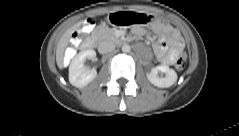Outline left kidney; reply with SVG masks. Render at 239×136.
<instances>
[{
	"instance_id": "left-kidney-1",
	"label": "left kidney",
	"mask_w": 239,
	"mask_h": 136,
	"mask_svg": "<svg viewBox=\"0 0 239 136\" xmlns=\"http://www.w3.org/2000/svg\"><path fill=\"white\" fill-rule=\"evenodd\" d=\"M159 72L164 73L165 77H159ZM147 78L153 85L157 87L168 88L176 82L177 73L167 65H159L147 73Z\"/></svg>"
}]
</instances>
